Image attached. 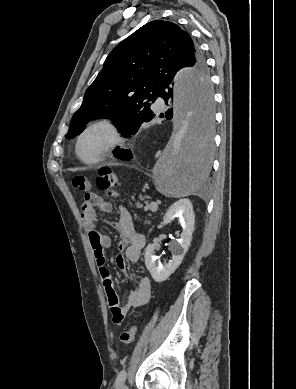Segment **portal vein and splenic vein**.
<instances>
[{"label": "portal vein and splenic vein", "mask_w": 296, "mask_h": 389, "mask_svg": "<svg viewBox=\"0 0 296 389\" xmlns=\"http://www.w3.org/2000/svg\"><path fill=\"white\" fill-rule=\"evenodd\" d=\"M150 206H151V209H152L153 211H156V210H157V204H156V203L152 202V203L150 204Z\"/></svg>", "instance_id": "18ae733b"}]
</instances>
